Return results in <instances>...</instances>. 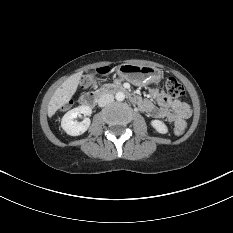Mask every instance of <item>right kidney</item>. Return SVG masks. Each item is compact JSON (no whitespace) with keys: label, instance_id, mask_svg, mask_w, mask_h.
I'll use <instances>...</instances> for the list:
<instances>
[{"label":"right kidney","instance_id":"right-kidney-1","mask_svg":"<svg viewBox=\"0 0 233 233\" xmlns=\"http://www.w3.org/2000/svg\"><path fill=\"white\" fill-rule=\"evenodd\" d=\"M92 113V109L89 106H79L68 111L62 118L61 127L62 129L71 136H78L87 131L90 126V119L84 118L83 121H75L78 115L83 114L89 116Z\"/></svg>","mask_w":233,"mask_h":233}]
</instances>
